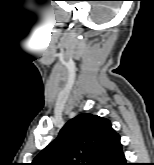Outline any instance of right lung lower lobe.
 <instances>
[{
  "mask_svg": "<svg viewBox=\"0 0 154 165\" xmlns=\"http://www.w3.org/2000/svg\"><path fill=\"white\" fill-rule=\"evenodd\" d=\"M95 165H128L121 149L120 137L115 135Z\"/></svg>",
  "mask_w": 154,
  "mask_h": 165,
  "instance_id": "right-lung-lower-lobe-1",
  "label": "right lung lower lobe"
}]
</instances>
